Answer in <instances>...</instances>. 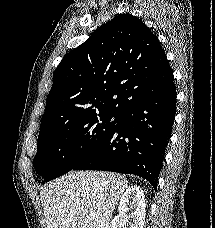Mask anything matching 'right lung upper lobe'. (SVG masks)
Returning a JSON list of instances; mask_svg holds the SVG:
<instances>
[{"label":"right lung upper lobe","mask_w":215,"mask_h":228,"mask_svg":"<svg viewBox=\"0 0 215 228\" xmlns=\"http://www.w3.org/2000/svg\"><path fill=\"white\" fill-rule=\"evenodd\" d=\"M172 76L157 36L139 18L117 15L64 56L53 74L40 129L118 114Z\"/></svg>","instance_id":"obj_1"}]
</instances>
